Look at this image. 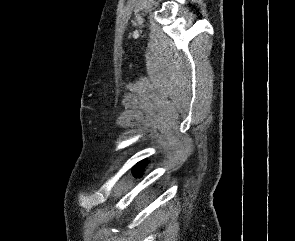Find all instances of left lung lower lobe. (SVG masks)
<instances>
[{"instance_id": "left-lung-lower-lobe-1", "label": "left lung lower lobe", "mask_w": 295, "mask_h": 241, "mask_svg": "<svg viewBox=\"0 0 295 241\" xmlns=\"http://www.w3.org/2000/svg\"><path fill=\"white\" fill-rule=\"evenodd\" d=\"M145 165H146V161L145 160L140 161L136 166H134L132 168V174L135 177H141L142 176V170L145 168Z\"/></svg>"}]
</instances>
